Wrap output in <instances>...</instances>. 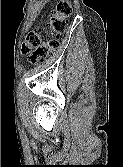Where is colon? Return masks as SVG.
<instances>
[{"label": "colon", "mask_w": 123, "mask_h": 167, "mask_svg": "<svg viewBox=\"0 0 123 167\" xmlns=\"http://www.w3.org/2000/svg\"><path fill=\"white\" fill-rule=\"evenodd\" d=\"M71 13L72 5L69 0H60L50 16L49 30L53 36L42 39L39 30L30 31L26 35L22 44V52L28 55L30 64L35 65L43 62L50 52L58 46L57 36L65 31Z\"/></svg>", "instance_id": "obj_1"}]
</instances>
